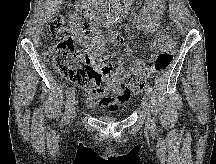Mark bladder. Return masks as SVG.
<instances>
[{"mask_svg":"<svg viewBox=\"0 0 216 164\" xmlns=\"http://www.w3.org/2000/svg\"><path fill=\"white\" fill-rule=\"evenodd\" d=\"M105 119H107V120H114L115 118L114 117H106Z\"/></svg>","mask_w":216,"mask_h":164,"instance_id":"obj_1","label":"bladder"}]
</instances>
